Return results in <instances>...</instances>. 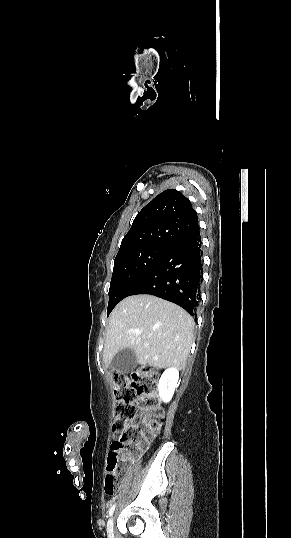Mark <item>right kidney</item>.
I'll list each match as a JSON object with an SVG mask.
<instances>
[{"mask_svg": "<svg viewBox=\"0 0 291 538\" xmlns=\"http://www.w3.org/2000/svg\"><path fill=\"white\" fill-rule=\"evenodd\" d=\"M179 379V371L176 367L166 369L158 383V392L160 399L168 403L173 397Z\"/></svg>", "mask_w": 291, "mask_h": 538, "instance_id": "1", "label": "right kidney"}]
</instances>
